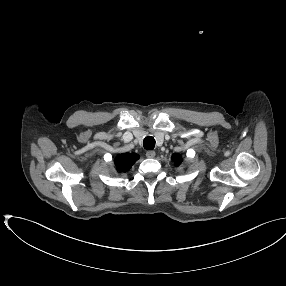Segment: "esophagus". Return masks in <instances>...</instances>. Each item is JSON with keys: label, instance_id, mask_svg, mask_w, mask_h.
Returning a JSON list of instances; mask_svg holds the SVG:
<instances>
[{"label": "esophagus", "instance_id": "esophagus-1", "mask_svg": "<svg viewBox=\"0 0 286 286\" xmlns=\"http://www.w3.org/2000/svg\"><path fill=\"white\" fill-rule=\"evenodd\" d=\"M155 155H156V153L153 150H149V151L146 152L147 158H154Z\"/></svg>", "mask_w": 286, "mask_h": 286}]
</instances>
